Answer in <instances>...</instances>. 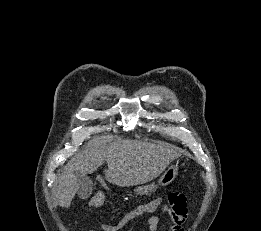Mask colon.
Instances as JSON below:
<instances>
[{
	"mask_svg": "<svg viewBox=\"0 0 261 231\" xmlns=\"http://www.w3.org/2000/svg\"><path fill=\"white\" fill-rule=\"evenodd\" d=\"M159 206L154 203H149L146 205L145 213H149L156 210ZM170 212L174 215L185 220L188 216L189 205L187 199L182 193H170L168 196V205L166 206Z\"/></svg>",
	"mask_w": 261,
	"mask_h": 231,
	"instance_id": "obj_1",
	"label": "colon"
}]
</instances>
